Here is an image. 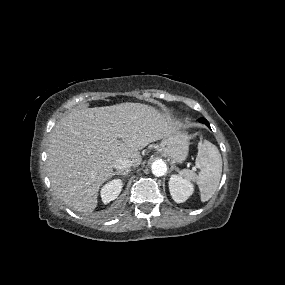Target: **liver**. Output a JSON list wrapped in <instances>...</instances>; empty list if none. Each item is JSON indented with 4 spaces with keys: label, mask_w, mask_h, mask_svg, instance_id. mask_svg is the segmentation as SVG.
<instances>
[{
    "label": "liver",
    "mask_w": 285,
    "mask_h": 285,
    "mask_svg": "<svg viewBox=\"0 0 285 285\" xmlns=\"http://www.w3.org/2000/svg\"><path fill=\"white\" fill-rule=\"evenodd\" d=\"M178 130L168 114L141 103L74 110L50 134L51 186L65 204L90 214L97 207L100 186L113 176L117 159L139 166L141 149Z\"/></svg>",
    "instance_id": "1"
}]
</instances>
